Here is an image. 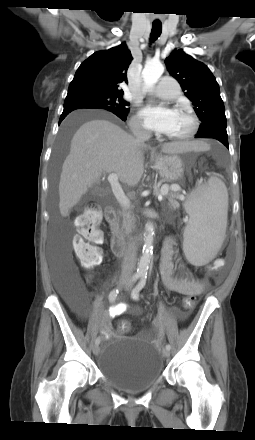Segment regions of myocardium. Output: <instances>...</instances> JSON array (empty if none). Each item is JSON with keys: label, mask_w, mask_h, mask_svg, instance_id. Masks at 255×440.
Listing matches in <instances>:
<instances>
[{"label": "myocardium", "mask_w": 255, "mask_h": 440, "mask_svg": "<svg viewBox=\"0 0 255 440\" xmlns=\"http://www.w3.org/2000/svg\"><path fill=\"white\" fill-rule=\"evenodd\" d=\"M176 109L179 111H184L189 116V118L191 119V127L183 135L180 136L167 135V138L174 141H186L188 139H191L192 137H194V135L197 133L199 129L200 126L199 119L197 115L194 113V111L186 105H181V104L177 105Z\"/></svg>", "instance_id": "1"}]
</instances>
